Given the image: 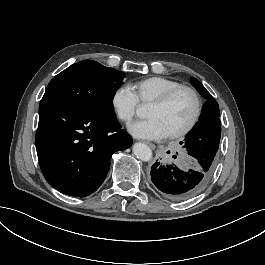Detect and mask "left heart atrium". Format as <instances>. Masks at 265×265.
<instances>
[{
  "mask_svg": "<svg viewBox=\"0 0 265 265\" xmlns=\"http://www.w3.org/2000/svg\"><path fill=\"white\" fill-rule=\"evenodd\" d=\"M128 129L134 137L140 139H160L166 136L164 129L154 118L132 122Z\"/></svg>",
  "mask_w": 265,
  "mask_h": 265,
  "instance_id": "39dd6f15",
  "label": "left heart atrium"
}]
</instances>
